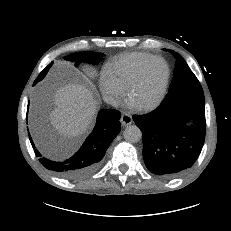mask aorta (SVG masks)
Instances as JSON below:
<instances>
[{
	"label": "aorta",
	"instance_id": "obj_1",
	"mask_svg": "<svg viewBox=\"0 0 231 231\" xmlns=\"http://www.w3.org/2000/svg\"><path fill=\"white\" fill-rule=\"evenodd\" d=\"M123 137L129 143H137L142 138V133L138 126L129 125L125 128Z\"/></svg>",
	"mask_w": 231,
	"mask_h": 231
}]
</instances>
